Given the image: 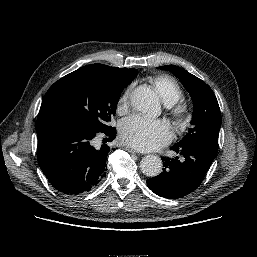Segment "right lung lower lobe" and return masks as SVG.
<instances>
[{"label": "right lung lower lobe", "instance_id": "obj_1", "mask_svg": "<svg viewBox=\"0 0 257 257\" xmlns=\"http://www.w3.org/2000/svg\"><path fill=\"white\" fill-rule=\"evenodd\" d=\"M98 133L77 125L57 124L37 135L39 166L57 190L66 194L87 192L105 177L111 148L93 147ZM101 133L112 141L116 129Z\"/></svg>", "mask_w": 257, "mask_h": 257}]
</instances>
